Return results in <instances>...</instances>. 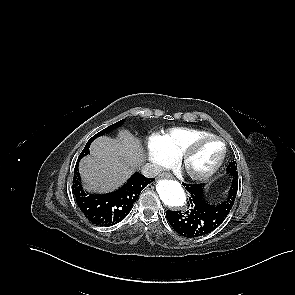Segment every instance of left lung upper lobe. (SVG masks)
<instances>
[{
	"label": "left lung upper lobe",
	"mask_w": 295,
	"mask_h": 295,
	"mask_svg": "<svg viewBox=\"0 0 295 295\" xmlns=\"http://www.w3.org/2000/svg\"><path fill=\"white\" fill-rule=\"evenodd\" d=\"M227 172H237V166H236V161H232L229 163V165L227 166Z\"/></svg>",
	"instance_id": "obj_1"
}]
</instances>
